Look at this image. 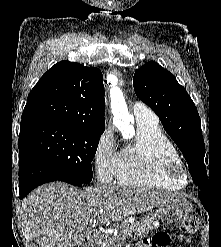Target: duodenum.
Here are the masks:
<instances>
[{
    "mask_svg": "<svg viewBox=\"0 0 221 247\" xmlns=\"http://www.w3.org/2000/svg\"><path fill=\"white\" fill-rule=\"evenodd\" d=\"M99 243V236L97 233H91L88 237H87V241L86 244L89 247H97Z\"/></svg>",
    "mask_w": 221,
    "mask_h": 247,
    "instance_id": "410a0bca",
    "label": "duodenum"
}]
</instances>
